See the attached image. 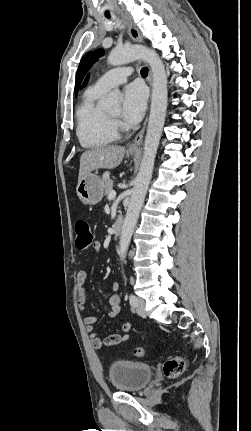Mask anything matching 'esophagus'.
I'll return each instance as SVG.
<instances>
[{
	"mask_svg": "<svg viewBox=\"0 0 251 431\" xmlns=\"http://www.w3.org/2000/svg\"><path fill=\"white\" fill-rule=\"evenodd\" d=\"M119 14H120L121 18L124 20V22L126 23L131 37L136 42H142L141 33L138 30V28L136 27V25L133 23L131 18H129L127 15H125L123 13L119 12ZM148 82H149V85L152 86V72H151V70L149 71ZM146 123H147V120L144 122L142 129L136 135L133 142L129 145V147H128L129 150L134 151V150L139 149V147L142 143V140H143V136H144V132H145V128H146Z\"/></svg>",
	"mask_w": 251,
	"mask_h": 431,
	"instance_id": "34e87169",
	"label": "esophagus"
}]
</instances>
